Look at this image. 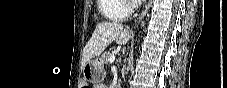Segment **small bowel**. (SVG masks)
I'll return each instance as SVG.
<instances>
[{
	"instance_id": "small-bowel-1",
	"label": "small bowel",
	"mask_w": 227,
	"mask_h": 88,
	"mask_svg": "<svg viewBox=\"0 0 227 88\" xmlns=\"http://www.w3.org/2000/svg\"><path fill=\"white\" fill-rule=\"evenodd\" d=\"M96 87L97 88H102V87H104V85L103 84H100V85H97Z\"/></svg>"
}]
</instances>
